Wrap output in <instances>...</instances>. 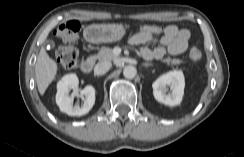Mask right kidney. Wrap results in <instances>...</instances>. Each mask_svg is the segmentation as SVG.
<instances>
[{"mask_svg": "<svg viewBox=\"0 0 244 157\" xmlns=\"http://www.w3.org/2000/svg\"><path fill=\"white\" fill-rule=\"evenodd\" d=\"M79 85V79L75 74L65 75L57 84L56 103L60 111L69 116H82L87 114L95 103V89L87 85L80 92L85 96L82 107L73 106V99L69 96L70 90H76Z\"/></svg>", "mask_w": 244, "mask_h": 157, "instance_id": "ca27d5eb", "label": "right kidney"}]
</instances>
